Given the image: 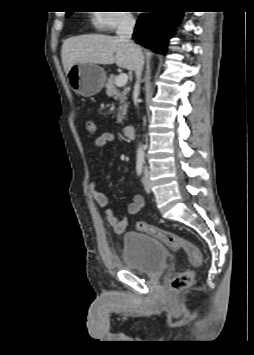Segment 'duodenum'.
<instances>
[{
    "instance_id": "duodenum-1",
    "label": "duodenum",
    "mask_w": 254,
    "mask_h": 355,
    "mask_svg": "<svg viewBox=\"0 0 254 355\" xmlns=\"http://www.w3.org/2000/svg\"><path fill=\"white\" fill-rule=\"evenodd\" d=\"M123 134L127 138H132L134 136V126L133 125H125L123 128Z\"/></svg>"
}]
</instances>
